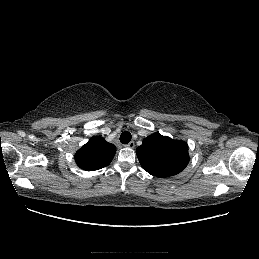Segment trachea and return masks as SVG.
<instances>
[{
	"label": "trachea",
	"mask_w": 259,
	"mask_h": 259,
	"mask_svg": "<svg viewBox=\"0 0 259 259\" xmlns=\"http://www.w3.org/2000/svg\"><path fill=\"white\" fill-rule=\"evenodd\" d=\"M131 133L128 132V131H125L123 132L121 135H120V142L122 144H128L131 140Z\"/></svg>",
	"instance_id": "obj_1"
}]
</instances>
